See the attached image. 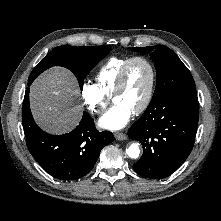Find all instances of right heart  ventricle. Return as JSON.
Listing matches in <instances>:
<instances>
[{
    "label": "right heart ventricle",
    "mask_w": 221,
    "mask_h": 221,
    "mask_svg": "<svg viewBox=\"0 0 221 221\" xmlns=\"http://www.w3.org/2000/svg\"><path fill=\"white\" fill-rule=\"evenodd\" d=\"M129 58L131 57H111L97 71L96 85L106 97L112 96L119 73Z\"/></svg>",
    "instance_id": "e07e8e85"
}]
</instances>
